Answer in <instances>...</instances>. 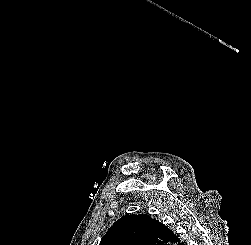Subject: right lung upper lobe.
Wrapping results in <instances>:
<instances>
[{
  "mask_svg": "<svg viewBox=\"0 0 251 245\" xmlns=\"http://www.w3.org/2000/svg\"><path fill=\"white\" fill-rule=\"evenodd\" d=\"M168 227L144 214H127L114 222L99 245H177Z\"/></svg>",
  "mask_w": 251,
  "mask_h": 245,
  "instance_id": "cb5924a9",
  "label": "right lung upper lobe"
}]
</instances>
